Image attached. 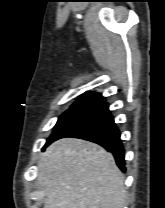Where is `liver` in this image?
Wrapping results in <instances>:
<instances>
[{
	"instance_id": "6515ba94",
	"label": "liver",
	"mask_w": 165,
	"mask_h": 208,
	"mask_svg": "<svg viewBox=\"0 0 165 208\" xmlns=\"http://www.w3.org/2000/svg\"><path fill=\"white\" fill-rule=\"evenodd\" d=\"M37 165L44 208H124V175L113 155L95 143L60 139Z\"/></svg>"
}]
</instances>
